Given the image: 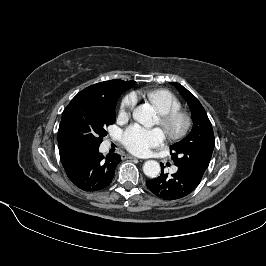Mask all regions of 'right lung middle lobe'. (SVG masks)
Instances as JSON below:
<instances>
[{"mask_svg":"<svg viewBox=\"0 0 266 266\" xmlns=\"http://www.w3.org/2000/svg\"><path fill=\"white\" fill-rule=\"evenodd\" d=\"M123 88L108 99L75 96L65 108L58 139L68 149L99 146L106 128L115 122V107Z\"/></svg>","mask_w":266,"mask_h":266,"instance_id":"dd1d6c3e","label":"right lung middle lobe"}]
</instances>
